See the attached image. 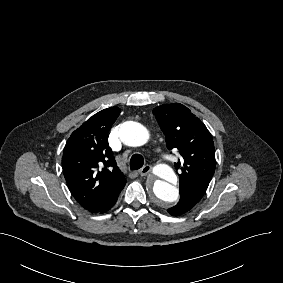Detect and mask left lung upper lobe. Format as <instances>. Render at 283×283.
<instances>
[{"label":"left lung upper lobe","mask_w":283,"mask_h":283,"mask_svg":"<svg viewBox=\"0 0 283 283\" xmlns=\"http://www.w3.org/2000/svg\"><path fill=\"white\" fill-rule=\"evenodd\" d=\"M168 149L178 150L182 164L180 192L189 190L204 195L215 172V149L206 126L182 104H164L153 110Z\"/></svg>","instance_id":"left-lung-upper-lobe-1"}]
</instances>
